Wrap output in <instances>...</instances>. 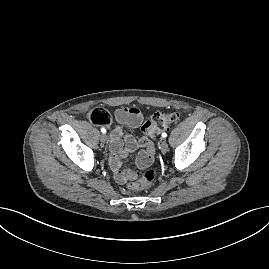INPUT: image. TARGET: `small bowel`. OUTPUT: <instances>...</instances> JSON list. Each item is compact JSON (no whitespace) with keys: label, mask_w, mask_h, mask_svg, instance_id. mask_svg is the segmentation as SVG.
Instances as JSON below:
<instances>
[{"label":"small bowel","mask_w":269,"mask_h":269,"mask_svg":"<svg viewBox=\"0 0 269 269\" xmlns=\"http://www.w3.org/2000/svg\"><path fill=\"white\" fill-rule=\"evenodd\" d=\"M117 124L112 128L110 134V166L115 180L124 184L135 179L136 174L128 169H122L123 160L127 158L138 148L142 151L136 157V165L140 168L150 166L154 158V145L147 137L136 138L133 135H125L123 126L126 125L131 129L138 128L142 121L143 115L138 108L122 107L115 111Z\"/></svg>","instance_id":"1"}]
</instances>
